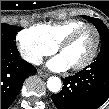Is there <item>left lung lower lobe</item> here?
I'll list each match as a JSON object with an SVG mask.
<instances>
[{"label": "left lung lower lobe", "instance_id": "obj_1", "mask_svg": "<svg viewBox=\"0 0 109 109\" xmlns=\"http://www.w3.org/2000/svg\"><path fill=\"white\" fill-rule=\"evenodd\" d=\"M63 89L52 95L58 109H97L109 99V47L73 76L63 79Z\"/></svg>", "mask_w": 109, "mask_h": 109}]
</instances>
